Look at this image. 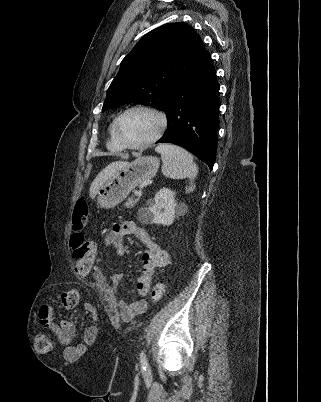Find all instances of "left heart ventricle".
Returning a JSON list of instances; mask_svg holds the SVG:
<instances>
[{
    "label": "left heart ventricle",
    "mask_w": 321,
    "mask_h": 402,
    "mask_svg": "<svg viewBox=\"0 0 321 402\" xmlns=\"http://www.w3.org/2000/svg\"><path fill=\"white\" fill-rule=\"evenodd\" d=\"M159 128V121L145 111L128 113L120 122V135L129 144H139L151 138Z\"/></svg>",
    "instance_id": "left-heart-ventricle-1"
}]
</instances>
